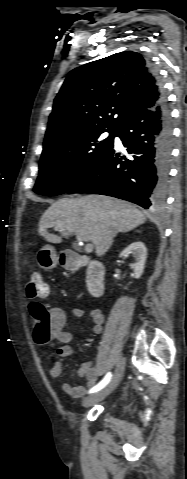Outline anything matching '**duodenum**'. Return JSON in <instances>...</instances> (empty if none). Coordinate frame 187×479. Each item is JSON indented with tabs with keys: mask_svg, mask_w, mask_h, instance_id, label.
<instances>
[{
	"mask_svg": "<svg viewBox=\"0 0 187 479\" xmlns=\"http://www.w3.org/2000/svg\"><path fill=\"white\" fill-rule=\"evenodd\" d=\"M63 265L70 270L78 269L84 265V259L64 254ZM104 277V266L100 262L93 261L89 263L87 268L86 287L92 296L97 297L102 294L105 284Z\"/></svg>",
	"mask_w": 187,
	"mask_h": 479,
	"instance_id": "duodenum-1",
	"label": "duodenum"
}]
</instances>
